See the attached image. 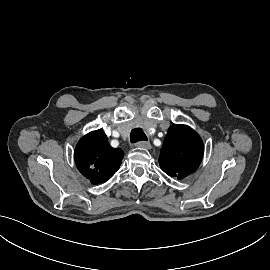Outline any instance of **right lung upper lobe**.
Wrapping results in <instances>:
<instances>
[{"mask_svg":"<svg viewBox=\"0 0 270 270\" xmlns=\"http://www.w3.org/2000/svg\"><path fill=\"white\" fill-rule=\"evenodd\" d=\"M124 153L119 148H112L102 130L88 133L80 139L74 160L78 170L91 183H104L119 169Z\"/></svg>","mask_w":270,"mask_h":270,"instance_id":"obj_1","label":"right lung upper lobe"}]
</instances>
